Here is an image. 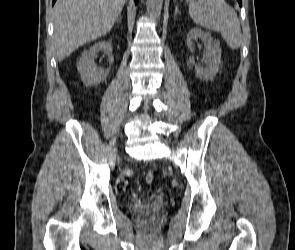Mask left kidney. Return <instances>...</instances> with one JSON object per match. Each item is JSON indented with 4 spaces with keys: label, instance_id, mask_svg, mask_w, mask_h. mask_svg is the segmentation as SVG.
Instances as JSON below:
<instances>
[{
    "label": "left kidney",
    "instance_id": "left-kidney-1",
    "mask_svg": "<svg viewBox=\"0 0 295 250\" xmlns=\"http://www.w3.org/2000/svg\"><path fill=\"white\" fill-rule=\"evenodd\" d=\"M197 38L201 39L204 43L205 51L202 62L206 64V67H196V75L200 79L213 80L221 64V49L219 47V41L213 39L210 34L201 29L192 28L187 35V45L191 51H193L192 41Z\"/></svg>",
    "mask_w": 295,
    "mask_h": 250
}]
</instances>
